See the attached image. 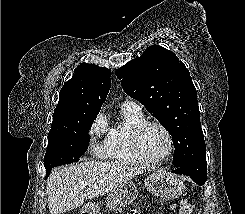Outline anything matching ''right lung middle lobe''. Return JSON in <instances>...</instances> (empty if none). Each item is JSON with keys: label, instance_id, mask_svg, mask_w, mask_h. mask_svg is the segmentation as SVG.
<instances>
[{"label": "right lung middle lobe", "instance_id": "right-lung-middle-lobe-1", "mask_svg": "<svg viewBox=\"0 0 245 214\" xmlns=\"http://www.w3.org/2000/svg\"><path fill=\"white\" fill-rule=\"evenodd\" d=\"M98 113L83 114L77 118L70 128L49 135L48 147L44 156L46 178L49 176L52 168L79 161L80 157L88 149V131Z\"/></svg>", "mask_w": 245, "mask_h": 214}]
</instances>
